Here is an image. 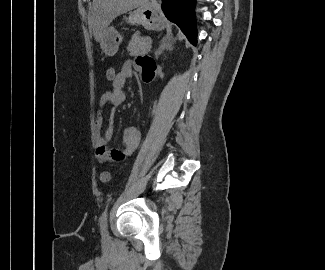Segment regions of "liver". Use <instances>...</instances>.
<instances>
[{
  "label": "liver",
  "instance_id": "6515ba94",
  "mask_svg": "<svg viewBox=\"0 0 325 270\" xmlns=\"http://www.w3.org/2000/svg\"><path fill=\"white\" fill-rule=\"evenodd\" d=\"M145 3L148 0H93L91 23L95 40L101 43L106 29L117 16Z\"/></svg>",
  "mask_w": 325,
  "mask_h": 270
}]
</instances>
